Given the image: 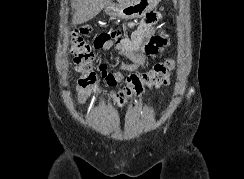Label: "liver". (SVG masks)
<instances>
[{"instance_id":"1","label":"liver","mask_w":244,"mask_h":179,"mask_svg":"<svg viewBox=\"0 0 244 179\" xmlns=\"http://www.w3.org/2000/svg\"><path fill=\"white\" fill-rule=\"evenodd\" d=\"M108 0H73L76 10L74 20L77 22H88L101 12Z\"/></svg>"}]
</instances>
